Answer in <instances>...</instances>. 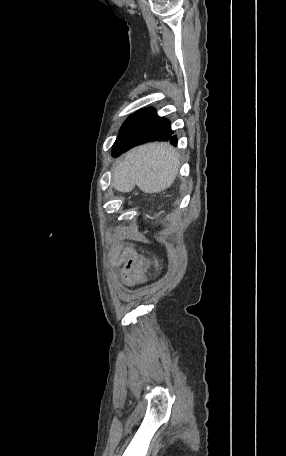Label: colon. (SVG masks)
<instances>
[{
    "mask_svg": "<svg viewBox=\"0 0 286 456\" xmlns=\"http://www.w3.org/2000/svg\"><path fill=\"white\" fill-rule=\"evenodd\" d=\"M150 265V260L148 258L137 256L134 268L133 276L137 281H142L145 279V271Z\"/></svg>",
    "mask_w": 286,
    "mask_h": 456,
    "instance_id": "5ec220e1",
    "label": "colon"
}]
</instances>
